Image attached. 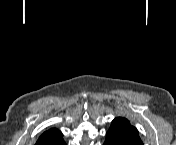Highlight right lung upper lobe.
<instances>
[{"instance_id":"cb5924a9","label":"right lung upper lobe","mask_w":176,"mask_h":145,"mask_svg":"<svg viewBox=\"0 0 176 145\" xmlns=\"http://www.w3.org/2000/svg\"><path fill=\"white\" fill-rule=\"evenodd\" d=\"M63 135L62 133L55 129H49L45 131L37 140L36 145H63Z\"/></svg>"}]
</instances>
